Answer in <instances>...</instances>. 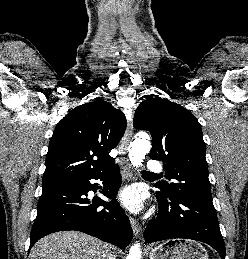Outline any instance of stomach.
Here are the masks:
<instances>
[{
  "mask_svg": "<svg viewBox=\"0 0 248 259\" xmlns=\"http://www.w3.org/2000/svg\"><path fill=\"white\" fill-rule=\"evenodd\" d=\"M150 259H208V254L198 242L189 239H171L152 248Z\"/></svg>",
  "mask_w": 248,
  "mask_h": 259,
  "instance_id": "0dacf381",
  "label": "stomach"
}]
</instances>
